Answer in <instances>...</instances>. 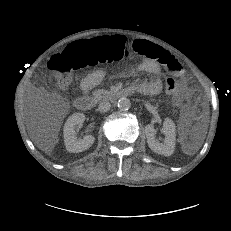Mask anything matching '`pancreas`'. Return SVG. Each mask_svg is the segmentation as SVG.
<instances>
[{"label":"pancreas","mask_w":231,"mask_h":231,"mask_svg":"<svg viewBox=\"0 0 231 231\" xmlns=\"http://www.w3.org/2000/svg\"><path fill=\"white\" fill-rule=\"evenodd\" d=\"M92 94L95 97V99L100 100L102 98L107 97L110 94V92L104 89H98L94 90Z\"/></svg>","instance_id":"1"}]
</instances>
